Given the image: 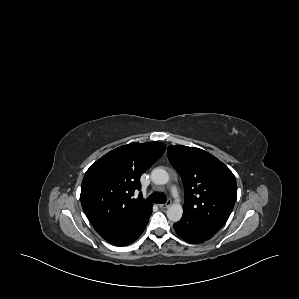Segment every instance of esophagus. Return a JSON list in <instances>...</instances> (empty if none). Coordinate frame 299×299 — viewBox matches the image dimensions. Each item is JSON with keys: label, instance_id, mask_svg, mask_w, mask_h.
I'll return each mask as SVG.
<instances>
[{"label": "esophagus", "instance_id": "1", "mask_svg": "<svg viewBox=\"0 0 299 299\" xmlns=\"http://www.w3.org/2000/svg\"><path fill=\"white\" fill-rule=\"evenodd\" d=\"M171 205V201L168 200L166 203L164 204H159V207L162 208V209H166L168 208L169 206Z\"/></svg>", "mask_w": 299, "mask_h": 299}]
</instances>
